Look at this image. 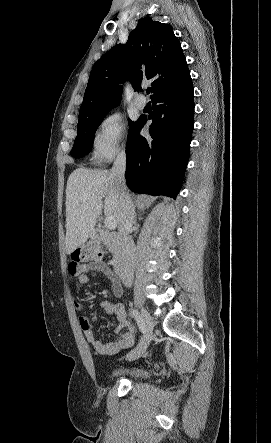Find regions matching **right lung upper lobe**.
Listing matches in <instances>:
<instances>
[{"instance_id": "cb5924a9", "label": "right lung upper lobe", "mask_w": 271, "mask_h": 443, "mask_svg": "<svg viewBox=\"0 0 271 443\" xmlns=\"http://www.w3.org/2000/svg\"><path fill=\"white\" fill-rule=\"evenodd\" d=\"M189 78L186 59L172 27L143 18L129 34L126 45L112 47L94 64L79 119L106 115L117 106L125 80L131 81L135 90L141 88L142 81L153 80L152 99Z\"/></svg>"}]
</instances>
